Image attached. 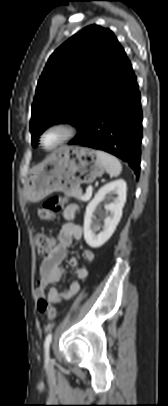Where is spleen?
<instances>
[{
  "instance_id": "3e777b00",
  "label": "spleen",
  "mask_w": 168,
  "mask_h": 406,
  "mask_svg": "<svg viewBox=\"0 0 168 406\" xmlns=\"http://www.w3.org/2000/svg\"><path fill=\"white\" fill-rule=\"evenodd\" d=\"M96 155L111 176H118L121 173L122 166L116 157L100 150L96 151Z\"/></svg>"
}]
</instances>
